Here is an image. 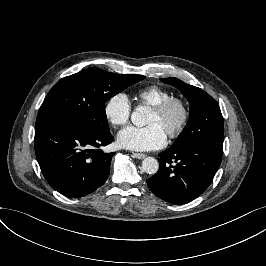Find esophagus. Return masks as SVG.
<instances>
[{
  "label": "esophagus",
  "instance_id": "34e87169",
  "mask_svg": "<svg viewBox=\"0 0 266 266\" xmlns=\"http://www.w3.org/2000/svg\"><path fill=\"white\" fill-rule=\"evenodd\" d=\"M133 156L137 159H143L146 157V155L143 153H133Z\"/></svg>",
  "mask_w": 266,
  "mask_h": 266
}]
</instances>
